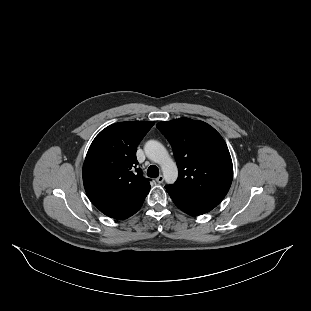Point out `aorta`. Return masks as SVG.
Segmentation results:
<instances>
[{
	"mask_svg": "<svg viewBox=\"0 0 311 311\" xmlns=\"http://www.w3.org/2000/svg\"><path fill=\"white\" fill-rule=\"evenodd\" d=\"M147 158L160 165L166 183L173 184L178 178V168L166 148L156 140H149L144 145Z\"/></svg>",
	"mask_w": 311,
	"mask_h": 311,
	"instance_id": "obj_1",
	"label": "aorta"
}]
</instances>
